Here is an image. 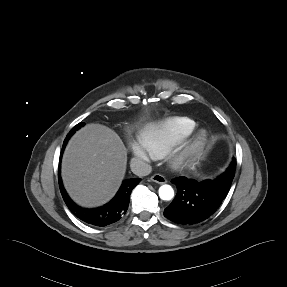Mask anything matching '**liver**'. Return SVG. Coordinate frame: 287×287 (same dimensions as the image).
<instances>
[{
  "label": "liver",
  "mask_w": 287,
  "mask_h": 287,
  "mask_svg": "<svg viewBox=\"0 0 287 287\" xmlns=\"http://www.w3.org/2000/svg\"><path fill=\"white\" fill-rule=\"evenodd\" d=\"M127 151L120 137L100 124H87L70 139L62 179L70 197L84 207L109 201L124 178Z\"/></svg>",
  "instance_id": "6515ba94"
}]
</instances>
